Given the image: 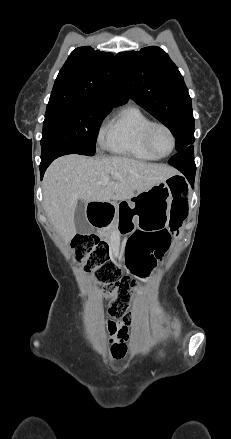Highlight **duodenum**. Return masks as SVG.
Instances as JSON below:
<instances>
[{
  "label": "duodenum",
  "mask_w": 231,
  "mask_h": 439,
  "mask_svg": "<svg viewBox=\"0 0 231 439\" xmlns=\"http://www.w3.org/2000/svg\"><path fill=\"white\" fill-rule=\"evenodd\" d=\"M111 206L109 201L92 202L90 204L89 220L94 224L95 220L103 219L107 209Z\"/></svg>",
  "instance_id": "obj_1"
}]
</instances>
